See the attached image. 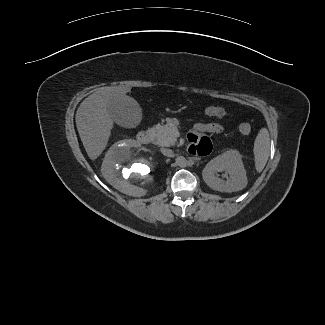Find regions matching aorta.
I'll return each instance as SVG.
<instances>
[{"label": "aorta", "instance_id": "1", "mask_svg": "<svg viewBox=\"0 0 325 325\" xmlns=\"http://www.w3.org/2000/svg\"><path fill=\"white\" fill-rule=\"evenodd\" d=\"M176 163L180 167H185L187 165V160H186L185 157L179 156V157L176 158Z\"/></svg>", "mask_w": 325, "mask_h": 325}]
</instances>
